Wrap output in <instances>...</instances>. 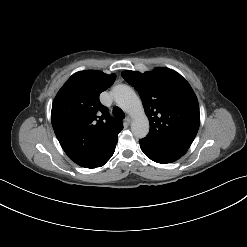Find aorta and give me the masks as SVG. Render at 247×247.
Instances as JSON below:
<instances>
[{
	"mask_svg": "<svg viewBox=\"0 0 247 247\" xmlns=\"http://www.w3.org/2000/svg\"><path fill=\"white\" fill-rule=\"evenodd\" d=\"M112 96L115 103L133 118L131 124L133 135L136 138H144L149 132V121L133 89L127 85H117L112 91Z\"/></svg>",
	"mask_w": 247,
	"mask_h": 247,
	"instance_id": "1",
	"label": "aorta"
}]
</instances>
